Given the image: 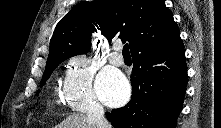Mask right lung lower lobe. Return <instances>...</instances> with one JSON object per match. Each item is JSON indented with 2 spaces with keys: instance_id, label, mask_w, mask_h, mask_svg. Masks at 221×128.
<instances>
[{
  "instance_id": "right-lung-lower-lobe-1",
  "label": "right lung lower lobe",
  "mask_w": 221,
  "mask_h": 128,
  "mask_svg": "<svg viewBox=\"0 0 221 128\" xmlns=\"http://www.w3.org/2000/svg\"><path fill=\"white\" fill-rule=\"evenodd\" d=\"M132 57L131 100L106 113L108 120L115 128H175L187 85L182 39Z\"/></svg>"
}]
</instances>
